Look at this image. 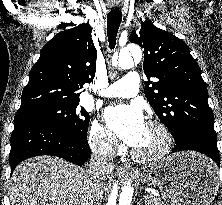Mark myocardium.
<instances>
[{"label":"myocardium","mask_w":222,"mask_h":205,"mask_svg":"<svg viewBox=\"0 0 222 205\" xmlns=\"http://www.w3.org/2000/svg\"><path fill=\"white\" fill-rule=\"evenodd\" d=\"M148 125L153 126L160 131L163 137V143L158 151L148 155H144L135 150L134 148L131 150L132 157L136 161L145 164L154 163L165 158L169 154L173 142L171 132L163 122L153 119L148 122Z\"/></svg>","instance_id":"obj_1"}]
</instances>
